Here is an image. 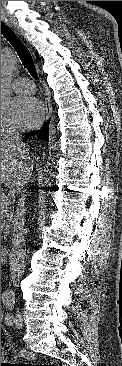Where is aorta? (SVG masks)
Segmentation results:
<instances>
[{"label": "aorta", "instance_id": "aorta-1", "mask_svg": "<svg viewBox=\"0 0 122 366\" xmlns=\"http://www.w3.org/2000/svg\"><path fill=\"white\" fill-rule=\"evenodd\" d=\"M17 62V57L11 50H1V108H5L10 100L11 82Z\"/></svg>", "mask_w": 122, "mask_h": 366}]
</instances>
